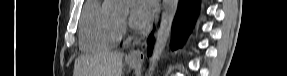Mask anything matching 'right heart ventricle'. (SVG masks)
I'll use <instances>...</instances> for the list:
<instances>
[{"instance_id":"1","label":"right heart ventricle","mask_w":287,"mask_h":76,"mask_svg":"<svg viewBox=\"0 0 287 76\" xmlns=\"http://www.w3.org/2000/svg\"><path fill=\"white\" fill-rule=\"evenodd\" d=\"M121 38V27L110 11L107 1L89 0L85 3L80 23V47L84 51L113 48Z\"/></svg>"}]
</instances>
